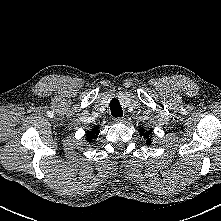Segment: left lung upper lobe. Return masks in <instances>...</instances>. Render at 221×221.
Segmentation results:
<instances>
[{"mask_svg": "<svg viewBox=\"0 0 221 221\" xmlns=\"http://www.w3.org/2000/svg\"><path fill=\"white\" fill-rule=\"evenodd\" d=\"M140 134L143 135L144 138L146 139L147 145H150V143H151V139H150L151 130L144 131L143 129H140Z\"/></svg>", "mask_w": 221, "mask_h": 221, "instance_id": "obj_1", "label": "left lung upper lobe"}]
</instances>
